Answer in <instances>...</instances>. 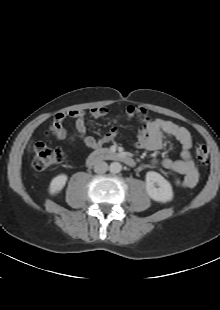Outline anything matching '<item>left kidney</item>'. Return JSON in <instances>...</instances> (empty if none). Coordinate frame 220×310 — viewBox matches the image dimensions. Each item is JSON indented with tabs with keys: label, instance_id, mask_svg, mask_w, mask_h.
Listing matches in <instances>:
<instances>
[{
	"label": "left kidney",
	"instance_id": "left-kidney-1",
	"mask_svg": "<svg viewBox=\"0 0 220 310\" xmlns=\"http://www.w3.org/2000/svg\"><path fill=\"white\" fill-rule=\"evenodd\" d=\"M146 191L151 199L157 202L166 203L172 201V186L162 175L149 171L146 173Z\"/></svg>",
	"mask_w": 220,
	"mask_h": 310
}]
</instances>
